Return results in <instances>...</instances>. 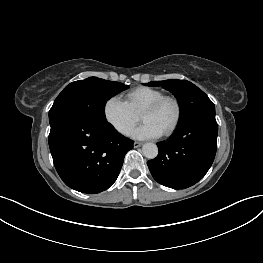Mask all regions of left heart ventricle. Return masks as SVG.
<instances>
[{"label":"left heart ventricle","mask_w":263,"mask_h":263,"mask_svg":"<svg viewBox=\"0 0 263 263\" xmlns=\"http://www.w3.org/2000/svg\"><path fill=\"white\" fill-rule=\"evenodd\" d=\"M175 116V107L171 102H165L161 107L153 111L141 113V119L154 123L164 132L172 123Z\"/></svg>","instance_id":"b2bd125f"}]
</instances>
